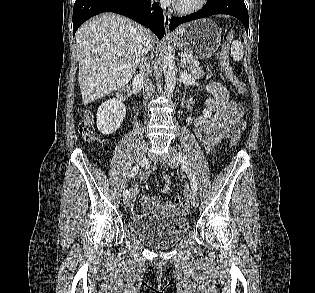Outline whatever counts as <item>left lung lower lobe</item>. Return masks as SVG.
<instances>
[{
    "label": "left lung lower lobe",
    "instance_id": "0a47b994",
    "mask_svg": "<svg viewBox=\"0 0 315 293\" xmlns=\"http://www.w3.org/2000/svg\"><path fill=\"white\" fill-rule=\"evenodd\" d=\"M214 14H227L236 17L243 23L245 30L248 32V11L243 0H209L207 4L196 13L184 17H172L169 28L173 30L182 23Z\"/></svg>",
    "mask_w": 315,
    "mask_h": 293
}]
</instances>
